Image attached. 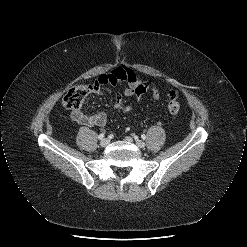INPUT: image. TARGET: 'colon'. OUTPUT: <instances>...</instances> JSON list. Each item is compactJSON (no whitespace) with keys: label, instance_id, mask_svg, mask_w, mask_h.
Here are the masks:
<instances>
[{"label":"colon","instance_id":"5ec220e1","mask_svg":"<svg viewBox=\"0 0 247 247\" xmlns=\"http://www.w3.org/2000/svg\"><path fill=\"white\" fill-rule=\"evenodd\" d=\"M92 86H76L68 90L62 99L64 107L73 112H78L83 106V102L87 94L92 90ZM115 106L125 112L129 107L125 106L119 95L115 98ZM179 95L176 91L171 90L168 93L167 108L171 113H178L180 110Z\"/></svg>","mask_w":247,"mask_h":247}]
</instances>
